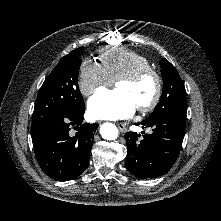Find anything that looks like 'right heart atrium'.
Returning a JSON list of instances; mask_svg holds the SVG:
<instances>
[{
  "label": "right heart atrium",
  "instance_id": "1",
  "mask_svg": "<svg viewBox=\"0 0 221 221\" xmlns=\"http://www.w3.org/2000/svg\"><path fill=\"white\" fill-rule=\"evenodd\" d=\"M114 83L104 67L93 60H84L78 73V88L82 95L90 96Z\"/></svg>",
  "mask_w": 221,
  "mask_h": 221
}]
</instances>
